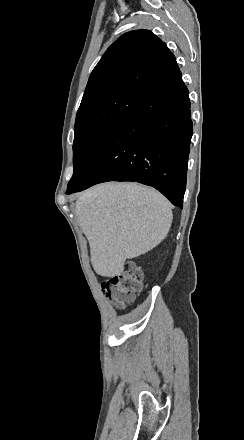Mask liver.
Masks as SVG:
<instances>
[{"mask_svg": "<svg viewBox=\"0 0 244 440\" xmlns=\"http://www.w3.org/2000/svg\"><path fill=\"white\" fill-rule=\"evenodd\" d=\"M75 208L93 270L104 278L120 276L126 260L158 246L173 218L168 200L137 182L94 186L79 196Z\"/></svg>", "mask_w": 244, "mask_h": 440, "instance_id": "liver-1", "label": "liver"}]
</instances>
